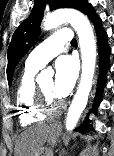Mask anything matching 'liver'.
Here are the masks:
<instances>
[{"label": "liver", "instance_id": "liver-1", "mask_svg": "<svg viewBox=\"0 0 114 156\" xmlns=\"http://www.w3.org/2000/svg\"><path fill=\"white\" fill-rule=\"evenodd\" d=\"M50 126L38 123L23 131L15 144V156H36L45 144Z\"/></svg>", "mask_w": 114, "mask_h": 156}]
</instances>
